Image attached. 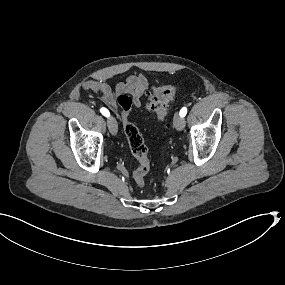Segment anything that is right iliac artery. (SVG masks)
I'll use <instances>...</instances> for the list:
<instances>
[{
  "label": "right iliac artery",
  "instance_id": "obj_1",
  "mask_svg": "<svg viewBox=\"0 0 285 285\" xmlns=\"http://www.w3.org/2000/svg\"><path fill=\"white\" fill-rule=\"evenodd\" d=\"M100 112H101L104 116H106V117H109V116H110L109 111H108L106 108H104V107L100 109Z\"/></svg>",
  "mask_w": 285,
  "mask_h": 285
}]
</instances>
